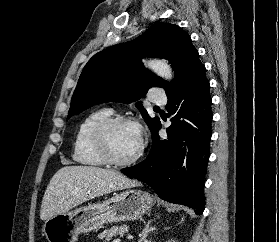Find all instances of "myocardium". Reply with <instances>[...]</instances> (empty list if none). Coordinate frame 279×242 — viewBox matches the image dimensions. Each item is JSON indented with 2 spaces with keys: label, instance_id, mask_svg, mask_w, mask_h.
Instances as JSON below:
<instances>
[{
  "label": "myocardium",
  "instance_id": "myocardium-1",
  "mask_svg": "<svg viewBox=\"0 0 279 242\" xmlns=\"http://www.w3.org/2000/svg\"><path fill=\"white\" fill-rule=\"evenodd\" d=\"M121 124H129L135 126L140 133V143L138 150L128 159L116 158L110 148L109 135L111 130ZM92 142L103 160L113 166L124 167L134 164L141 156L144 148L143 131L141 124L134 118L128 116H109L101 119L93 128Z\"/></svg>",
  "mask_w": 279,
  "mask_h": 242
}]
</instances>
